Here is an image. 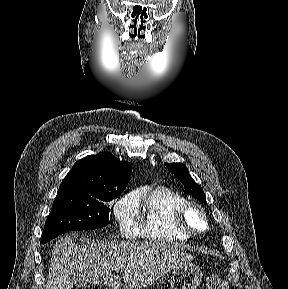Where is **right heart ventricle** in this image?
<instances>
[{
    "label": "right heart ventricle",
    "mask_w": 288,
    "mask_h": 289,
    "mask_svg": "<svg viewBox=\"0 0 288 289\" xmlns=\"http://www.w3.org/2000/svg\"><path fill=\"white\" fill-rule=\"evenodd\" d=\"M136 216L139 220L138 234L146 239L176 243L190 239L176 221V209L187 198L180 192L158 185L139 190L133 196Z\"/></svg>",
    "instance_id": "1"
}]
</instances>
